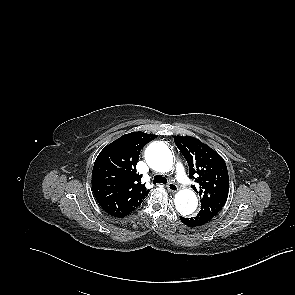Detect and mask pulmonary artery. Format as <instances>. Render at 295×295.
Masks as SVG:
<instances>
[{"label":"pulmonary artery","instance_id":"pulmonary-artery-1","mask_svg":"<svg viewBox=\"0 0 295 295\" xmlns=\"http://www.w3.org/2000/svg\"><path fill=\"white\" fill-rule=\"evenodd\" d=\"M175 172L177 179L184 185H189L190 180L185 172L183 165L180 162H177L175 165Z\"/></svg>","mask_w":295,"mask_h":295}]
</instances>
